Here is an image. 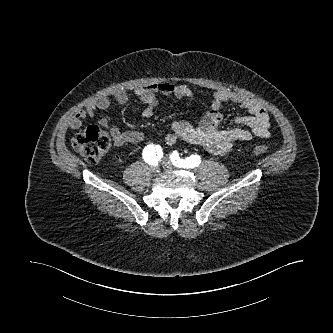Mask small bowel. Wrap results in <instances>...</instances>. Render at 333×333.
Returning a JSON list of instances; mask_svg holds the SVG:
<instances>
[{
  "mask_svg": "<svg viewBox=\"0 0 333 333\" xmlns=\"http://www.w3.org/2000/svg\"><path fill=\"white\" fill-rule=\"evenodd\" d=\"M135 96L145 108L141 116L148 119L153 116L158 104V95L174 96L179 99H191L193 90L186 84L161 82L147 87H137ZM129 97L125 91H116L110 96H98L89 101L84 110L78 111L69 121V127L78 129L86 118L94 116L97 110H108L113 104L124 105ZM225 102H233L245 109L248 115L237 117L234 124L245 128H223L224 116L220 111ZM101 124L110 129L117 146L138 145L144 140L140 131H120L113 122L105 117ZM270 135V120L267 110L255 99L226 89H218L213 93L210 110L198 124L181 120L172 123L171 132L165 142L173 145L178 141H186L199 145L212 154H225L240 142L252 140L254 137L267 138Z\"/></svg>",
  "mask_w": 333,
  "mask_h": 333,
  "instance_id": "small-bowel-1",
  "label": "small bowel"
}]
</instances>
